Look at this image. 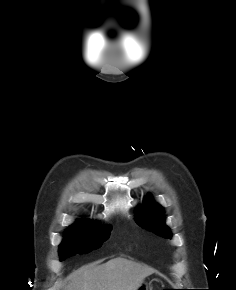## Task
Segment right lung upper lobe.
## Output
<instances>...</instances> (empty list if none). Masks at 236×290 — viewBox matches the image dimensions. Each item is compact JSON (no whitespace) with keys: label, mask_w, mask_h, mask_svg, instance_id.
I'll return each mask as SVG.
<instances>
[{"label":"right lung upper lobe","mask_w":236,"mask_h":290,"mask_svg":"<svg viewBox=\"0 0 236 290\" xmlns=\"http://www.w3.org/2000/svg\"><path fill=\"white\" fill-rule=\"evenodd\" d=\"M88 223H93V222L86 221V220H79V221L76 223V225L88 224Z\"/></svg>","instance_id":"1"}]
</instances>
